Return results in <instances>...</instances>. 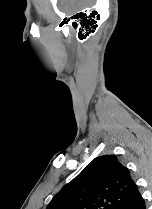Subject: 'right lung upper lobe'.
<instances>
[{"label": "right lung upper lobe", "mask_w": 152, "mask_h": 209, "mask_svg": "<svg viewBox=\"0 0 152 209\" xmlns=\"http://www.w3.org/2000/svg\"><path fill=\"white\" fill-rule=\"evenodd\" d=\"M137 191L116 155H103L66 184L46 209H121Z\"/></svg>", "instance_id": "right-lung-upper-lobe-1"}]
</instances>
